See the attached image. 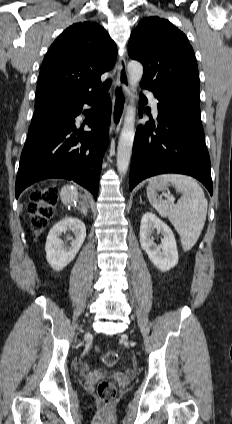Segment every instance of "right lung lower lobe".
<instances>
[{"mask_svg":"<svg viewBox=\"0 0 232 424\" xmlns=\"http://www.w3.org/2000/svg\"><path fill=\"white\" fill-rule=\"evenodd\" d=\"M54 103L36 108L16 178V198L34 182L48 178L73 180L97 198L102 159L109 138L111 102L91 117L90 132L75 126L85 103Z\"/></svg>","mask_w":232,"mask_h":424,"instance_id":"1","label":"right lung lower lobe"}]
</instances>
